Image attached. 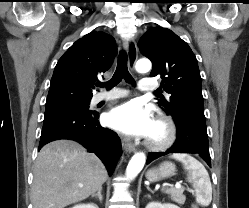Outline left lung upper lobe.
<instances>
[{"instance_id":"left-lung-upper-lobe-1","label":"left lung upper lobe","mask_w":249,"mask_h":208,"mask_svg":"<svg viewBox=\"0 0 249 208\" xmlns=\"http://www.w3.org/2000/svg\"><path fill=\"white\" fill-rule=\"evenodd\" d=\"M138 44L152 61L150 76L160 77L162 87L171 95L168 100H159L161 109L172 117L184 111L204 115L200 71L189 45L162 27L149 29Z\"/></svg>"}]
</instances>
